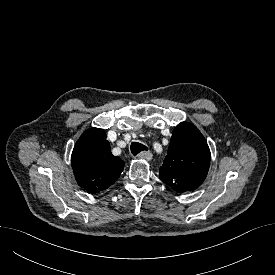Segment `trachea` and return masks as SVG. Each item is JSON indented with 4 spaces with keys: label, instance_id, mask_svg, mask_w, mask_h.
<instances>
[{
    "label": "trachea",
    "instance_id": "1",
    "mask_svg": "<svg viewBox=\"0 0 275 275\" xmlns=\"http://www.w3.org/2000/svg\"><path fill=\"white\" fill-rule=\"evenodd\" d=\"M146 150H148V148L139 142H132V144H131V152L134 156H136L140 152L146 151Z\"/></svg>",
    "mask_w": 275,
    "mask_h": 275
}]
</instances>
